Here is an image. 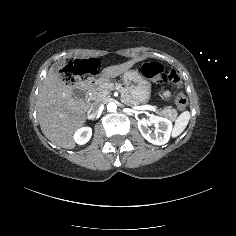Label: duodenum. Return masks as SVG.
Returning <instances> with one entry per match:
<instances>
[{
  "label": "duodenum",
  "instance_id": "obj_1",
  "mask_svg": "<svg viewBox=\"0 0 236 236\" xmlns=\"http://www.w3.org/2000/svg\"><path fill=\"white\" fill-rule=\"evenodd\" d=\"M97 81L98 78L95 75L88 73L83 75L73 88L75 98L81 103L84 109L87 107V92Z\"/></svg>",
  "mask_w": 236,
  "mask_h": 236
}]
</instances>
